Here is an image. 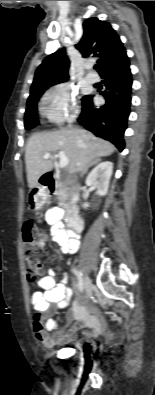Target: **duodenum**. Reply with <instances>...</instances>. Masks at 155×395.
I'll list each match as a JSON object with an SVG mask.
<instances>
[{"mask_svg": "<svg viewBox=\"0 0 155 395\" xmlns=\"http://www.w3.org/2000/svg\"><path fill=\"white\" fill-rule=\"evenodd\" d=\"M42 185L50 192H54L58 188L59 182L53 174L49 173L43 176ZM66 222L74 232H79L83 228V220L75 203L71 204L67 211Z\"/></svg>", "mask_w": 155, "mask_h": 395, "instance_id": "duodenum-1", "label": "duodenum"}]
</instances>
